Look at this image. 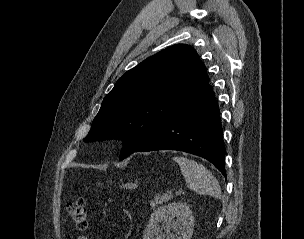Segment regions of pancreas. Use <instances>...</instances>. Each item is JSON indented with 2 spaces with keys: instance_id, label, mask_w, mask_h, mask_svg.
<instances>
[{
  "instance_id": "1",
  "label": "pancreas",
  "mask_w": 304,
  "mask_h": 239,
  "mask_svg": "<svg viewBox=\"0 0 304 239\" xmlns=\"http://www.w3.org/2000/svg\"><path fill=\"white\" fill-rule=\"evenodd\" d=\"M171 199V196H168V195H164V196H155L154 197V200H152L151 202V208H155L156 205H161L163 204L164 202H167Z\"/></svg>"
}]
</instances>
